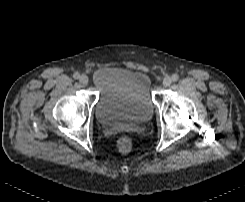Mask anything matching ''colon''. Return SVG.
Returning <instances> with one entry per match:
<instances>
[{"instance_id":"obj_1","label":"colon","mask_w":245,"mask_h":202,"mask_svg":"<svg viewBox=\"0 0 245 202\" xmlns=\"http://www.w3.org/2000/svg\"><path fill=\"white\" fill-rule=\"evenodd\" d=\"M132 146H133L132 140L127 136H123L118 140L117 147L119 152L122 154L130 153L132 150Z\"/></svg>"}]
</instances>
